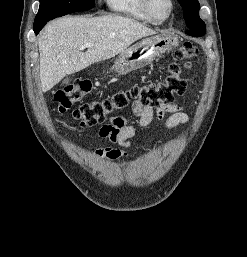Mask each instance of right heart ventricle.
I'll list each match as a JSON object with an SVG mask.
<instances>
[{
  "instance_id": "e07e8e85",
  "label": "right heart ventricle",
  "mask_w": 247,
  "mask_h": 257,
  "mask_svg": "<svg viewBox=\"0 0 247 257\" xmlns=\"http://www.w3.org/2000/svg\"><path fill=\"white\" fill-rule=\"evenodd\" d=\"M106 3L108 8L117 14L152 23L143 10L142 0H106Z\"/></svg>"
}]
</instances>
